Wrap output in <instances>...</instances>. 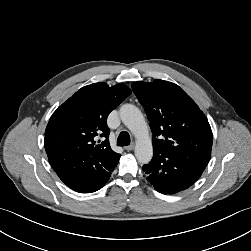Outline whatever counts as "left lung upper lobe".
Returning a JSON list of instances; mask_svg holds the SVG:
<instances>
[{
  "label": "left lung upper lobe",
  "instance_id": "5c2ea615",
  "mask_svg": "<svg viewBox=\"0 0 251 251\" xmlns=\"http://www.w3.org/2000/svg\"><path fill=\"white\" fill-rule=\"evenodd\" d=\"M132 89L143 105L153 133V150L210 159L212 131L204 113L176 84L135 82Z\"/></svg>",
  "mask_w": 251,
  "mask_h": 251
}]
</instances>
